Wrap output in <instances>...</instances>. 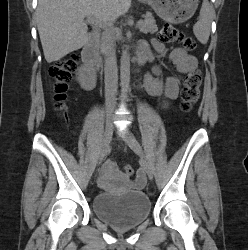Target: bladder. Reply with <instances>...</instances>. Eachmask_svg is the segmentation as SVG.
Wrapping results in <instances>:
<instances>
[{"label":"bladder","mask_w":248,"mask_h":250,"mask_svg":"<svg viewBox=\"0 0 248 250\" xmlns=\"http://www.w3.org/2000/svg\"><path fill=\"white\" fill-rule=\"evenodd\" d=\"M94 213L118 229L138 226L151 213V202L140 190H130L123 194L103 192L93 199Z\"/></svg>","instance_id":"obj_1"}]
</instances>
